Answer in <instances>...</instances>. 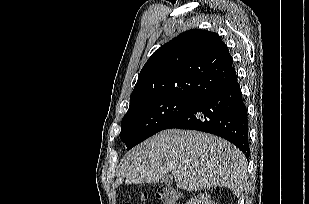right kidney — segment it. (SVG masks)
I'll return each instance as SVG.
<instances>
[{"mask_svg": "<svg viewBox=\"0 0 309 204\" xmlns=\"http://www.w3.org/2000/svg\"><path fill=\"white\" fill-rule=\"evenodd\" d=\"M186 204H214L209 194H199L197 197L191 198Z\"/></svg>", "mask_w": 309, "mask_h": 204, "instance_id": "1", "label": "right kidney"}]
</instances>
